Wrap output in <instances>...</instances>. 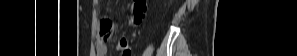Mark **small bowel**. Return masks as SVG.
I'll return each mask as SVG.
<instances>
[{"label":"small bowel","instance_id":"small-bowel-1","mask_svg":"<svg viewBox=\"0 0 297 56\" xmlns=\"http://www.w3.org/2000/svg\"><path fill=\"white\" fill-rule=\"evenodd\" d=\"M130 36H120L119 44L117 49L123 52L124 56H130ZM107 53V48L103 44H98L96 47V54L98 56H105Z\"/></svg>","mask_w":297,"mask_h":56}]
</instances>
